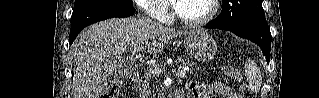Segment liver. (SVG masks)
I'll use <instances>...</instances> for the list:
<instances>
[{
    "mask_svg": "<svg viewBox=\"0 0 319 98\" xmlns=\"http://www.w3.org/2000/svg\"><path fill=\"white\" fill-rule=\"evenodd\" d=\"M191 32L143 17L113 18L89 26L72 45V98H99L115 69L112 64L122 52L147 44L148 53L157 55L170 39Z\"/></svg>",
    "mask_w": 319,
    "mask_h": 98,
    "instance_id": "obj_1",
    "label": "liver"
}]
</instances>
